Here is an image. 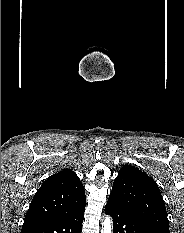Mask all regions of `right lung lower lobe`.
<instances>
[{
    "instance_id": "obj_1",
    "label": "right lung lower lobe",
    "mask_w": 184,
    "mask_h": 233,
    "mask_svg": "<svg viewBox=\"0 0 184 233\" xmlns=\"http://www.w3.org/2000/svg\"><path fill=\"white\" fill-rule=\"evenodd\" d=\"M84 213L67 219L55 220L21 233H81Z\"/></svg>"
}]
</instances>
